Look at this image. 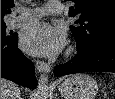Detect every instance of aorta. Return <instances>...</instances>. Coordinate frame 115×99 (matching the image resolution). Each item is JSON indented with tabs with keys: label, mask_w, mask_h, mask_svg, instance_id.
I'll return each mask as SVG.
<instances>
[{
	"label": "aorta",
	"mask_w": 115,
	"mask_h": 99,
	"mask_svg": "<svg viewBox=\"0 0 115 99\" xmlns=\"http://www.w3.org/2000/svg\"><path fill=\"white\" fill-rule=\"evenodd\" d=\"M48 76L42 74L39 79V85L37 90V99H48L49 97V86H48Z\"/></svg>",
	"instance_id": "762f6f07"
}]
</instances>
